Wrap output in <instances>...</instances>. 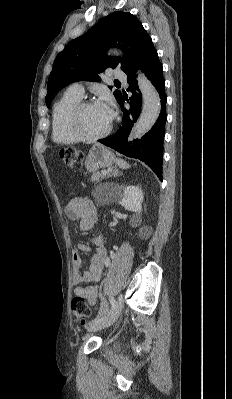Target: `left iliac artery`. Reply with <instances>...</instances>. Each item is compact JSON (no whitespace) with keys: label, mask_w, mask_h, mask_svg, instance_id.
<instances>
[{"label":"left iliac artery","mask_w":232,"mask_h":399,"mask_svg":"<svg viewBox=\"0 0 232 399\" xmlns=\"http://www.w3.org/2000/svg\"><path fill=\"white\" fill-rule=\"evenodd\" d=\"M116 306H117V302H116V301H113V302H112V307H111V312L114 311V310L116 309ZM99 319H100L99 317H96V318H94V319L91 321V323L98 322Z\"/></svg>","instance_id":"1"}]
</instances>
